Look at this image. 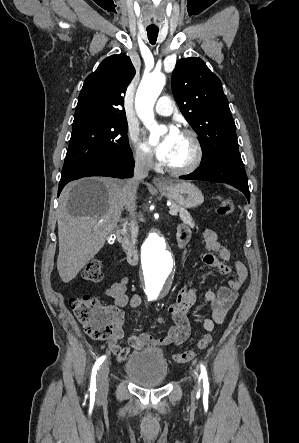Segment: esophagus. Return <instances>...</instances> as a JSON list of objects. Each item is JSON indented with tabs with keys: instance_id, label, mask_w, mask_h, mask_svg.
<instances>
[{
	"instance_id": "obj_1",
	"label": "esophagus",
	"mask_w": 299,
	"mask_h": 443,
	"mask_svg": "<svg viewBox=\"0 0 299 443\" xmlns=\"http://www.w3.org/2000/svg\"><path fill=\"white\" fill-rule=\"evenodd\" d=\"M153 184L156 186H162L165 184V181L159 177H154L152 180Z\"/></svg>"
}]
</instances>
